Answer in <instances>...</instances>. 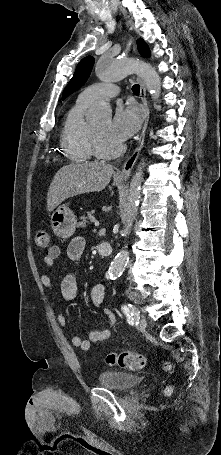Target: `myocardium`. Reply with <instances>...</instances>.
<instances>
[{
  "mask_svg": "<svg viewBox=\"0 0 221 455\" xmlns=\"http://www.w3.org/2000/svg\"><path fill=\"white\" fill-rule=\"evenodd\" d=\"M90 145L95 156L105 159L116 157L125 149V145L122 142L111 149L104 148L101 144L99 135L93 126L90 128Z\"/></svg>",
  "mask_w": 221,
  "mask_h": 455,
  "instance_id": "1",
  "label": "myocardium"
}]
</instances>
